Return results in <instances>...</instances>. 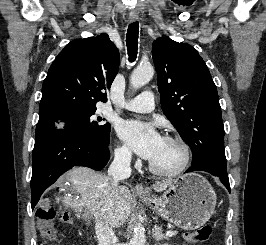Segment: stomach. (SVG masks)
<instances>
[{
  "label": "stomach",
  "mask_w": 266,
  "mask_h": 245,
  "mask_svg": "<svg viewBox=\"0 0 266 245\" xmlns=\"http://www.w3.org/2000/svg\"><path fill=\"white\" fill-rule=\"evenodd\" d=\"M140 199L162 219L186 231L203 227L211 219L217 203L213 187L198 173L177 177L161 197Z\"/></svg>",
  "instance_id": "1"
}]
</instances>
